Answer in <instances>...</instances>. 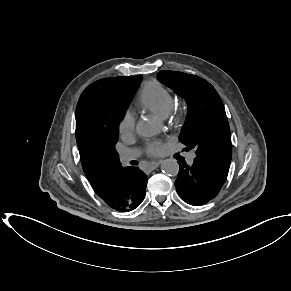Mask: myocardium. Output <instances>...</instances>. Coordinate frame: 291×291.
Listing matches in <instances>:
<instances>
[{"label":"myocardium","mask_w":291,"mask_h":291,"mask_svg":"<svg viewBox=\"0 0 291 291\" xmlns=\"http://www.w3.org/2000/svg\"><path fill=\"white\" fill-rule=\"evenodd\" d=\"M171 120L176 126H179L184 121V115L181 111H173L171 113Z\"/></svg>","instance_id":"obj_1"}]
</instances>
